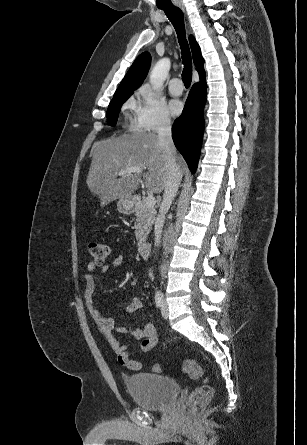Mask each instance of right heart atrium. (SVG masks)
<instances>
[{
    "label": "right heart atrium",
    "instance_id": "d8ad5b80",
    "mask_svg": "<svg viewBox=\"0 0 307 445\" xmlns=\"http://www.w3.org/2000/svg\"><path fill=\"white\" fill-rule=\"evenodd\" d=\"M136 123L143 131L159 133L171 126V117L165 103L148 87L138 90Z\"/></svg>",
    "mask_w": 307,
    "mask_h": 445
}]
</instances>
